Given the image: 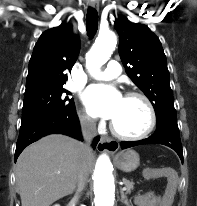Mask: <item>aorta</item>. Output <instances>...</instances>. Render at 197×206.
<instances>
[{"label": "aorta", "mask_w": 197, "mask_h": 206, "mask_svg": "<svg viewBox=\"0 0 197 206\" xmlns=\"http://www.w3.org/2000/svg\"><path fill=\"white\" fill-rule=\"evenodd\" d=\"M116 35L112 31L100 32L94 45L86 55V67L90 73H98L108 61L116 47ZM94 205L114 206L115 183L112 176V164L107 155L102 154L96 162L94 171Z\"/></svg>", "instance_id": "762f6f07"}]
</instances>
